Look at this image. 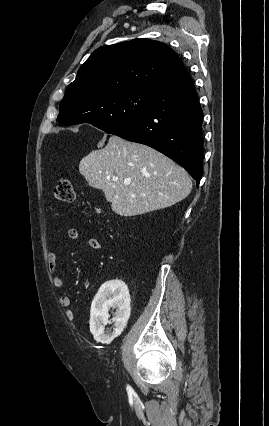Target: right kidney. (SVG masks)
Instances as JSON below:
<instances>
[{
	"instance_id": "right-kidney-1",
	"label": "right kidney",
	"mask_w": 269,
	"mask_h": 426,
	"mask_svg": "<svg viewBox=\"0 0 269 426\" xmlns=\"http://www.w3.org/2000/svg\"><path fill=\"white\" fill-rule=\"evenodd\" d=\"M129 305L130 295L124 282L110 281L100 288L92 302L90 312V331L96 341L107 343L113 338L105 333V325L110 323L108 320L110 308H117L112 320L116 326H120L123 317L129 311Z\"/></svg>"
}]
</instances>
